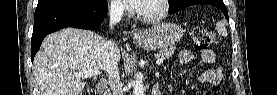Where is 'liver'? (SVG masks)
I'll list each match as a JSON object with an SVG mask.
<instances>
[{
    "label": "liver",
    "instance_id": "liver-1",
    "mask_svg": "<svg viewBox=\"0 0 277 95\" xmlns=\"http://www.w3.org/2000/svg\"><path fill=\"white\" fill-rule=\"evenodd\" d=\"M106 42L92 31L74 28L46 36L34 58L33 74L41 95H80L86 82L75 73L105 71Z\"/></svg>",
    "mask_w": 277,
    "mask_h": 95
}]
</instances>
